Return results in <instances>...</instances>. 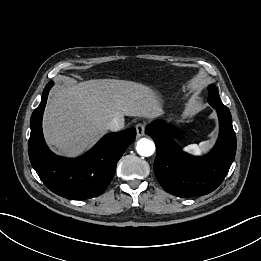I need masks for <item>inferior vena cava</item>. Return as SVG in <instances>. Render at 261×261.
Segmentation results:
<instances>
[{
  "instance_id": "602c4592",
  "label": "inferior vena cava",
  "mask_w": 261,
  "mask_h": 261,
  "mask_svg": "<svg viewBox=\"0 0 261 261\" xmlns=\"http://www.w3.org/2000/svg\"><path fill=\"white\" fill-rule=\"evenodd\" d=\"M106 128L111 131H119L124 128V118L123 116H116L113 119H111L107 124Z\"/></svg>"
}]
</instances>
